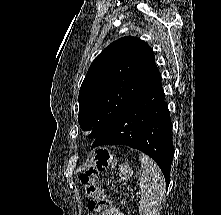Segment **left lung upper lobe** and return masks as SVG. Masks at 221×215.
<instances>
[{"instance_id": "5c2ea615", "label": "left lung upper lobe", "mask_w": 221, "mask_h": 215, "mask_svg": "<svg viewBox=\"0 0 221 215\" xmlns=\"http://www.w3.org/2000/svg\"><path fill=\"white\" fill-rule=\"evenodd\" d=\"M160 79L147 43L131 36L114 41L94 59L81 85L80 127L97 138Z\"/></svg>"}]
</instances>
